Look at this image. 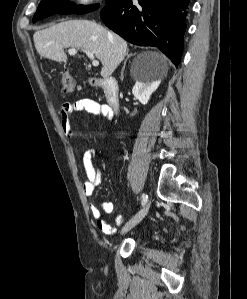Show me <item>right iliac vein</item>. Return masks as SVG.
<instances>
[{"instance_id": "63e3f726", "label": "right iliac vein", "mask_w": 247, "mask_h": 299, "mask_svg": "<svg viewBox=\"0 0 247 299\" xmlns=\"http://www.w3.org/2000/svg\"><path fill=\"white\" fill-rule=\"evenodd\" d=\"M150 202H148L134 217H132L123 227L121 234H124L139 224L148 212Z\"/></svg>"}]
</instances>
